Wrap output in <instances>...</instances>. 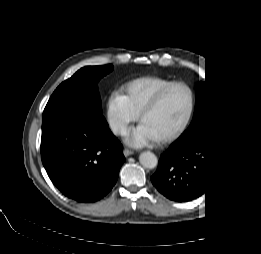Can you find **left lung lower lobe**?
<instances>
[{"label": "left lung lower lobe", "mask_w": 261, "mask_h": 254, "mask_svg": "<svg viewBox=\"0 0 261 254\" xmlns=\"http://www.w3.org/2000/svg\"><path fill=\"white\" fill-rule=\"evenodd\" d=\"M224 152V135L218 130L194 137L180 136L161 155L151 181L171 200L182 202L199 197L210 188Z\"/></svg>", "instance_id": "1"}]
</instances>
